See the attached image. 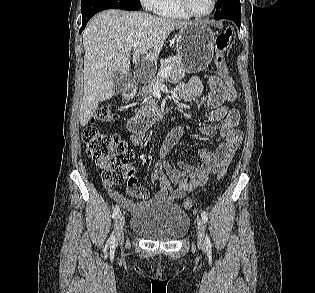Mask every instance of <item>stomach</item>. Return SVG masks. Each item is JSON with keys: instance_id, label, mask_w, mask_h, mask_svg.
<instances>
[{"instance_id": "stomach-1", "label": "stomach", "mask_w": 315, "mask_h": 293, "mask_svg": "<svg viewBox=\"0 0 315 293\" xmlns=\"http://www.w3.org/2000/svg\"><path fill=\"white\" fill-rule=\"evenodd\" d=\"M215 34L202 22L182 28L176 37V51L187 73H198L210 64L214 54Z\"/></svg>"}]
</instances>
